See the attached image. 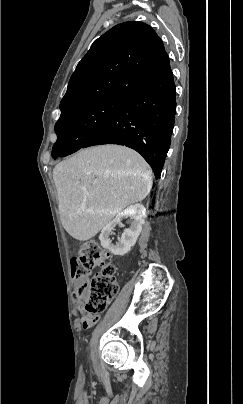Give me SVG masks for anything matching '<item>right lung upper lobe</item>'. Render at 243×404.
<instances>
[{
  "instance_id": "obj_1",
  "label": "right lung upper lobe",
  "mask_w": 243,
  "mask_h": 404,
  "mask_svg": "<svg viewBox=\"0 0 243 404\" xmlns=\"http://www.w3.org/2000/svg\"><path fill=\"white\" fill-rule=\"evenodd\" d=\"M172 73L164 45L143 22H124L98 38L78 63L60 103L61 114L94 100L127 99Z\"/></svg>"
}]
</instances>
